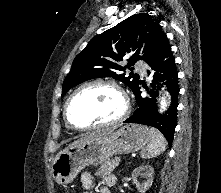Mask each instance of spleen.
<instances>
[{
  "label": "spleen",
  "mask_w": 221,
  "mask_h": 193,
  "mask_svg": "<svg viewBox=\"0 0 221 193\" xmlns=\"http://www.w3.org/2000/svg\"><path fill=\"white\" fill-rule=\"evenodd\" d=\"M166 150L164 136L155 128H150V143L141 151V157L150 159L157 157Z\"/></svg>",
  "instance_id": "1"
}]
</instances>
